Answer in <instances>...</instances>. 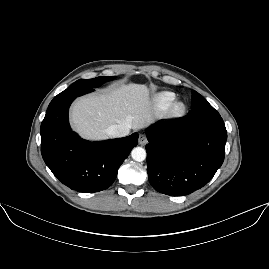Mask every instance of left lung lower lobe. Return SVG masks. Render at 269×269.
<instances>
[{"label":"left lung lower lobe","mask_w":269,"mask_h":269,"mask_svg":"<svg viewBox=\"0 0 269 269\" xmlns=\"http://www.w3.org/2000/svg\"><path fill=\"white\" fill-rule=\"evenodd\" d=\"M146 135L149 182L160 193L188 195L206 185L224 161L227 132L221 116L158 122Z\"/></svg>","instance_id":"1"}]
</instances>
